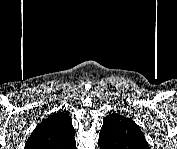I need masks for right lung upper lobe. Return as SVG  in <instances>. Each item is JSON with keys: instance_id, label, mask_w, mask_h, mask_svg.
<instances>
[{"instance_id": "cb5924a9", "label": "right lung upper lobe", "mask_w": 177, "mask_h": 149, "mask_svg": "<svg viewBox=\"0 0 177 149\" xmlns=\"http://www.w3.org/2000/svg\"><path fill=\"white\" fill-rule=\"evenodd\" d=\"M75 130L66 112H57L43 120L32 132L27 149H75Z\"/></svg>"}]
</instances>
